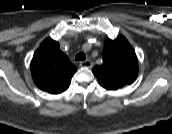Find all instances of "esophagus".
<instances>
[{"label":"esophagus","mask_w":172,"mask_h":134,"mask_svg":"<svg viewBox=\"0 0 172 134\" xmlns=\"http://www.w3.org/2000/svg\"><path fill=\"white\" fill-rule=\"evenodd\" d=\"M81 67H88V68H92L93 67V62L91 60H86V61H82L79 64Z\"/></svg>","instance_id":"1"}]
</instances>
